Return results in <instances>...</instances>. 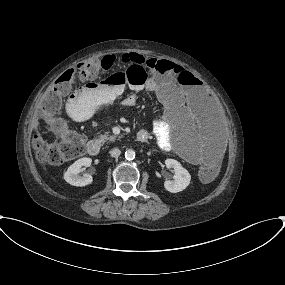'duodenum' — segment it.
I'll use <instances>...</instances> for the list:
<instances>
[{
    "label": "duodenum",
    "instance_id": "duodenum-1",
    "mask_svg": "<svg viewBox=\"0 0 285 285\" xmlns=\"http://www.w3.org/2000/svg\"><path fill=\"white\" fill-rule=\"evenodd\" d=\"M137 140L139 142H144L147 140V133L141 130L137 133ZM87 151L90 155L96 156L100 152V142L98 140H91L87 145Z\"/></svg>",
    "mask_w": 285,
    "mask_h": 285
}]
</instances>
